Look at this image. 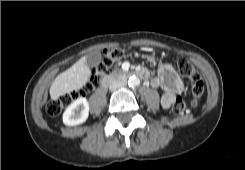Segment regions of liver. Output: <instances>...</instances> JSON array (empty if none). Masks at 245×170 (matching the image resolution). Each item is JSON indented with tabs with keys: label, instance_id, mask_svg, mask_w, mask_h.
<instances>
[{
	"label": "liver",
	"instance_id": "6515ba94",
	"mask_svg": "<svg viewBox=\"0 0 245 170\" xmlns=\"http://www.w3.org/2000/svg\"><path fill=\"white\" fill-rule=\"evenodd\" d=\"M91 70L86 64V56L79 59L69 69L59 74L50 87L52 100L82 88L89 80Z\"/></svg>",
	"mask_w": 245,
	"mask_h": 170
}]
</instances>
